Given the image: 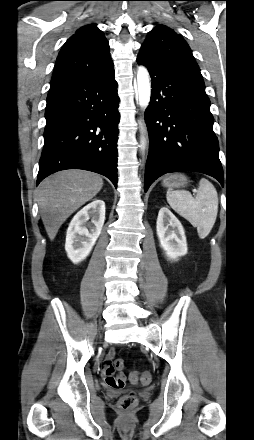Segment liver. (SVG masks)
Instances as JSON below:
<instances>
[{
  "label": "liver",
  "instance_id": "liver-1",
  "mask_svg": "<svg viewBox=\"0 0 254 440\" xmlns=\"http://www.w3.org/2000/svg\"><path fill=\"white\" fill-rule=\"evenodd\" d=\"M102 187L100 175L77 169L59 171L41 182L38 205L50 240H54L66 219L95 197Z\"/></svg>",
  "mask_w": 254,
  "mask_h": 440
}]
</instances>
